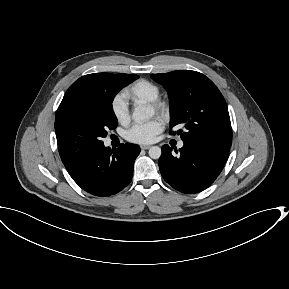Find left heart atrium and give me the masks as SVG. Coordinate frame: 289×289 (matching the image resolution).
Here are the masks:
<instances>
[{"label":"left heart atrium","mask_w":289,"mask_h":289,"mask_svg":"<svg viewBox=\"0 0 289 289\" xmlns=\"http://www.w3.org/2000/svg\"><path fill=\"white\" fill-rule=\"evenodd\" d=\"M162 130V122L152 119L145 123L133 125L125 133V138L133 143L148 144L154 141L157 134Z\"/></svg>","instance_id":"39dd6f15"}]
</instances>
